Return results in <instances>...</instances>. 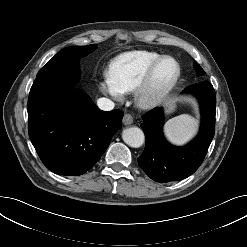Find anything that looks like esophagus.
Masks as SVG:
<instances>
[{
    "mask_svg": "<svg viewBox=\"0 0 247 247\" xmlns=\"http://www.w3.org/2000/svg\"><path fill=\"white\" fill-rule=\"evenodd\" d=\"M133 123V117L130 114H125L123 117L124 125H131Z\"/></svg>",
    "mask_w": 247,
    "mask_h": 247,
    "instance_id": "34e87169",
    "label": "esophagus"
}]
</instances>
